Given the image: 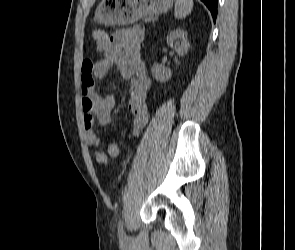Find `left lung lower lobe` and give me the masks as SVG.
<instances>
[{"mask_svg":"<svg viewBox=\"0 0 295 250\" xmlns=\"http://www.w3.org/2000/svg\"><path fill=\"white\" fill-rule=\"evenodd\" d=\"M206 6L207 8L210 10L212 16H213V20H216V16H217V4H218V0H201Z\"/></svg>","mask_w":295,"mask_h":250,"instance_id":"obj_1","label":"left lung lower lobe"}]
</instances>
